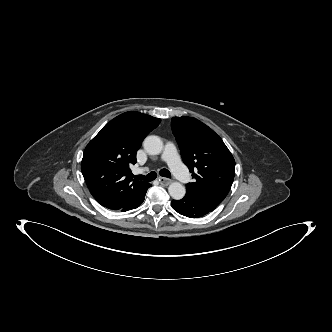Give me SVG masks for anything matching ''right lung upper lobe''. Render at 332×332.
I'll use <instances>...</instances> for the list:
<instances>
[{
    "label": "right lung upper lobe",
    "mask_w": 332,
    "mask_h": 332,
    "mask_svg": "<svg viewBox=\"0 0 332 332\" xmlns=\"http://www.w3.org/2000/svg\"><path fill=\"white\" fill-rule=\"evenodd\" d=\"M161 120L129 111L107 123L86 146L81 170L92 196L108 209L133 200L149 183L134 181L130 167L146 135Z\"/></svg>",
    "instance_id": "right-lung-upper-lobe-1"
}]
</instances>
